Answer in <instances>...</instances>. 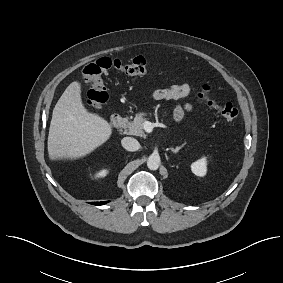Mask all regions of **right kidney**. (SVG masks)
<instances>
[{"label":"right kidney","instance_id":"1","mask_svg":"<svg viewBox=\"0 0 283 283\" xmlns=\"http://www.w3.org/2000/svg\"><path fill=\"white\" fill-rule=\"evenodd\" d=\"M108 170L107 169H102L99 172L95 173L94 178H103L108 174Z\"/></svg>","mask_w":283,"mask_h":283}]
</instances>
